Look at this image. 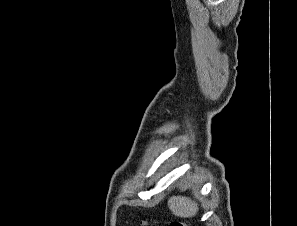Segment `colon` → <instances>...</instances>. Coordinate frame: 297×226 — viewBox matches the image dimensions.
<instances>
[{"label":"colon","instance_id":"5ec220e1","mask_svg":"<svg viewBox=\"0 0 297 226\" xmlns=\"http://www.w3.org/2000/svg\"><path fill=\"white\" fill-rule=\"evenodd\" d=\"M171 226H188V225L184 222H173Z\"/></svg>","mask_w":297,"mask_h":226}]
</instances>
